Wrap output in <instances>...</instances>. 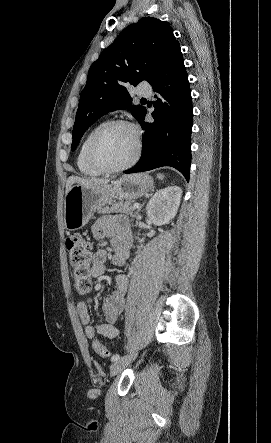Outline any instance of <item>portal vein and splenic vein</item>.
Here are the masks:
<instances>
[{
    "instance_id": "18ae733b",
    "label": "portal vein and splenic vein",
    "mask_w": 271,
    "mask_h": 443,
    "mask_svg": "<svg viewBox=\"0 0 271 443\" xmlns=\"http://www.w3.org/2000/svg\"><path fill=\"white\" fill-rule=\"evenodd\" d=\"M133 208L134 210H136V208H140V204H134Z\"/></svg>"
}]
</instances>
